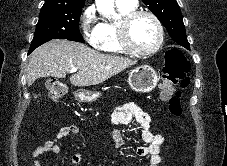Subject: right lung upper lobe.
Listing matches in <instances>:
<instances>
[{
  "label": "right lung upper lobe",
  "mask_w": 227,
  "mask_h": 166,
  "mask_svg": "<svg viewBox=\"0 0 227 166\" xmlns=\"http://www.w3.org/2000/svg\"><path fill=\"white\" fill-rule=\"evenodd\" d=\"M85 0H45L42 9H82Z\"/></svg>",
  "instance_id": "cb5924a9"
}]
</instances>
